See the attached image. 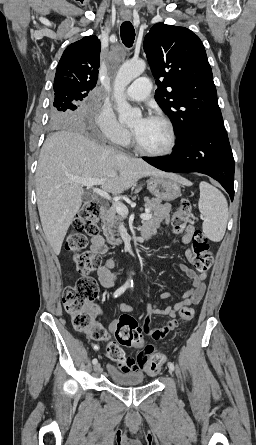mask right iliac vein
<instances>
[{
	"instance_id": "1",
	"label": "right iliac vein",
	"mask_w": 256,
	"mask_h": 445,
	"mask_svg": "<svg viewBox=\"0 0 256 445\" xmlns=\"http://www.w3.org/2000/svg\"><path fill=\"white\" fill-rule=\"evenodd\" d=\"M93 369H94L95 372H99L100 369H101V365H100V363H96V364H94Z\"/></svg>"
}]
</instances>
